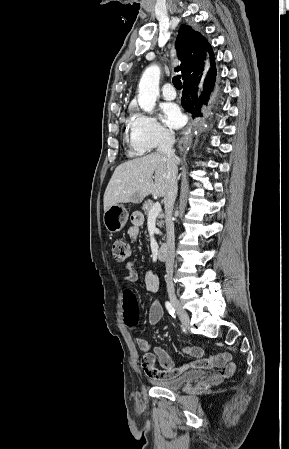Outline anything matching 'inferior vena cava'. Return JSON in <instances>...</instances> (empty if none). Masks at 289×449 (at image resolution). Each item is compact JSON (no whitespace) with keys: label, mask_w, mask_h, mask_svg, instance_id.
Instances as JSON below:
<instances>
[{"label":"inferior vena cava","mask_w":289,"mask_h":449,"mask_svg":"<svg viewBox=\"0 0 289 449\" xmlns=\"http://www.w3.org/2000/svg\"><path fill=\"white\" fill-rule=\"evenodd\" d=\"M175 143V137L173 133H166L158 147V152L163 154L167 160V166L169 169L168 179L169 186L166 195L164 196L165 212H166V232H167V255H166V286L168 292H174V285L172 282L173 265L175 258V234L174 223L172 218L173 207L177 197L178 185H177V159L173 145Z\"/></svg>","instance_id":"inferior-vena-cava-1"}]
</instances>
